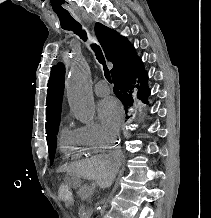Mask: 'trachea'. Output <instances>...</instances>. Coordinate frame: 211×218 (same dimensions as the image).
I'll return each mask as SVG.
<instances>
[{
  "mask_svg": "<svg viewBox=\"0 0 211 218\" xmlns=\"http://www.w3.org/2000/svg\"><path fill=\"white\" fill-rule=\"evenodd\" d=\"M63 29L64 30H72V32H74L76 35H79V37L82 40H84V41L87 40V34H86L85 30L82 29V26L80 24L73 25V26H67V27H64ZM91 47L96 55L97 60L103 66L104 75H105L106 80L109 83H112L110 71L107 68L106 61H105V58L103 56L101 48L96 44H92Z\"/></svg>",
  "mask_w": 211,
  "mask_h": 218,
  "instance_id": "obj_1",
  "label": "trachea"
}]
</instances>
